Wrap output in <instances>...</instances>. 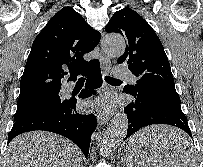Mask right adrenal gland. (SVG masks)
Returning <instances> with one entry per match:
<instances>
[{"label":"right adrenal gland","instance_id":"2a0ac1e0","mask_svg":"<svg viewBox=\"0 0 203 167\" xmlns=\"http://www.w3.org/2000/svg\"><path fill=\"white\" fill-rule=\"evenodd\" d=\"M80 167H83V163L82 162L80 163Z\"/></svg>","mask_w":203,"mask_h":167}]
</instances>
